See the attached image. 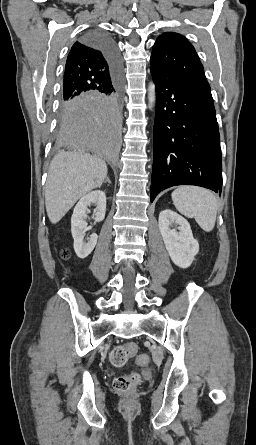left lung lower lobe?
I'll return each mask as SVG.
<instances>
[{
	"instance_id": "left-lung-lower-lobe-1",
	"label": "left lung lower lobe",
	"mask_w": 256,
	"mask_h": 445,
	"mask_svg": "<svg viewBox=\"0 0 256 445\" xmlns=\"http://www.w3.org/2000/svg\"><path fill=\"white\" fill-rule=\"evenodd\" d=\"M156 84L151 202L176 185L221 193L220 135L210 89L151 68Z\"/></svg>"
}]
</instances>
